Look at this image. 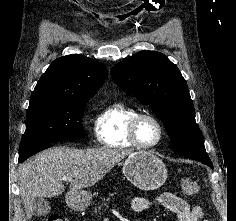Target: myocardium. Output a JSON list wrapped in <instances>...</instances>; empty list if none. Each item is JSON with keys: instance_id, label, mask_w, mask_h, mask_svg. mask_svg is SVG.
I'll use <instances>...</instances> for the list:
<instances>
[{"instance_id": "f54148a6", "label": "myocardium", "mask_w": 236, "mask_h": 221, "mask_svg": "<svg viewBox=\"0 0 236 221\" xmlns=\"http://www.w3.org/2000/svg\"><path fill=\"white\" fill-rule=\"evenodd\" d=\"M142 119H149L153 121L158 128V138L152 144H148V145L142 144L137 137V127ZM164 133L165 131H164L163 124L155 115L151 113H137L135 116L132 117V119L129 122L127 135H128L129 141L135 147L139 149H152L161 143L164 137Z\"/></svg>"}]
</instances>
